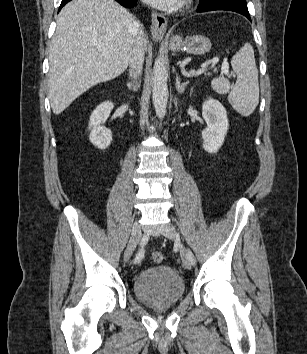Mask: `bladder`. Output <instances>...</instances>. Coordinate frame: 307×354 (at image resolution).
Segmentation results:
<instances>
[{
    "label": "bladder",
    "instance_id": "1",
    "mask_svg": "<svg viewBox=\"0 0 307 354\" xmlns=\"http://www.w3.org/2000/svg\"><path fill=\"white\" fill-rule=\"evenodd\" d=\"M133 291L142 303L150 307H167L183 297L185 282L171 266H153L135 277Z\"/></svg>",
    "mask_w": 307,
    "mask_h": 354
}]
</instances>
